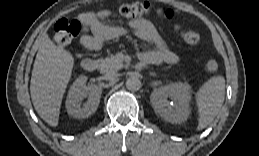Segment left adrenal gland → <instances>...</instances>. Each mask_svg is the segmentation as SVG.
I'll return each instance as SVG.
<instances>
[{
    "instance_id": "left-adrenal-gland-1",
    "label": "left adrenal gland",
    "mask_w": 259,
    "mask_h": 156,
    "mask_svg": "<svg viewBox=\"0 0 259 156\" xmlns=\"http://www.w3.org/2000/svg\"><path fill=\"white\" fill-rule=\"evenodd\" d=\"M150 75L155 76V75H156V73H150Z\"/></svg>"
}]
</instances>
